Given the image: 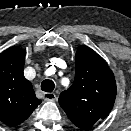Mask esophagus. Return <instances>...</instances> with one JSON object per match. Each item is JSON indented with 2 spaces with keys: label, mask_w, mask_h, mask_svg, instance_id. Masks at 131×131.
Instances as JSON below:
<instances>
[{
  "label": "esophagus",
  "mask_w": 131,
  "mask_h": 131,
  "mask_svg": "<svg viewBox=\"0 0 131 131\" xmlns=\"http://www.w3.org/2000/svg\"><path fill=\"white\" fill-rule=\"evenodd\" d=\"M43 99L45 101H55L57 99L55 93H49V92H46V93H43Z\"/></svg>",
  "instance_id": "34e87169"
}]
</instances>
